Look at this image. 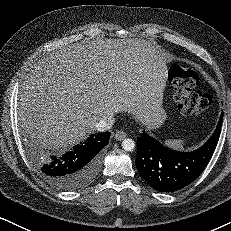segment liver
I'll use <instances>...</instances> for the list:
<instances>
[{"instance_id": "6515ba94", "label": "liver", "mask_w": 231, "mask_h": 231, "mask_svg": "<svg viewBox=\"0 0 231 231\" xmlns=\"http://www.w3.org/2000/svg\"><path fill=\"white\" fill-rule=\"evenodd\" d=\"M167 63L144 39H99L39 60L20 85L18 115L32 142L68 149L108 116L128 112L148 129L162 123Z\"/></svg>"}]
</instances>
